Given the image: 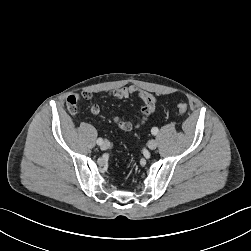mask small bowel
Wrapping results in <instances>:
<instances>
[{
  "label": "small bowel",
  "instance_id": "c3829d8e",
  "mask_svg": "<svg viewBox=\"0 0 251 251\" xmlns=\"http://www.w3.org/2000/svg\"><path fill=\"white\" fill-rule=\"evenodd\" d=\"M132 95H136L140 98L142 102V107H141V117L138 119L136 122H131V121H125L122 120L118 116H113V121L114 123L123 131L130 132L137 130L144 126L149 117L154 113L156 107H157V101L156 98L154 97L153 94L150 92L137 87L135 85L115 89L109 93V96L120 100L124 98H128ZM92 94L88 91L79 93V94H73L70 95L67 98V107L68 110L72 113L75 114L77 110V105L82 99H90ZM90 111L93 115H99L101 112V107L99 104L94 103L92 104Z\"/></svg>",
  "mask_w": 251,
  "mask_h": 251
}]
</instances>
